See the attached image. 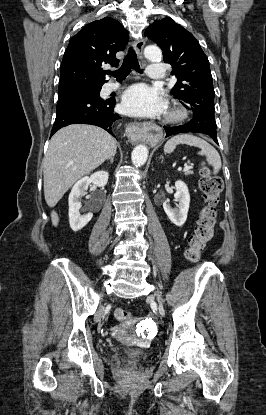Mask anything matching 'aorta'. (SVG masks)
Masks as SVG:
<instances>
[{"instance_id": "aorta-1", "label": "aorta", "mask_w": 266, "mask_h": 415, "mask_svg": "<svg viewBox=\"0 0 266 415\" xmlns=\"http://www.w3.org/2000/svg\"><path fill=\"white\" fill-rule=\"evenodd\" d=\"M145 57L152 61L157 62L161 60L162 53L161 50L156 46H147L144 50ZM148 158V149L145 145L136 146L131 155L132 163L135 166H142L146 163Z\"/></svg>"}]
</instances>
